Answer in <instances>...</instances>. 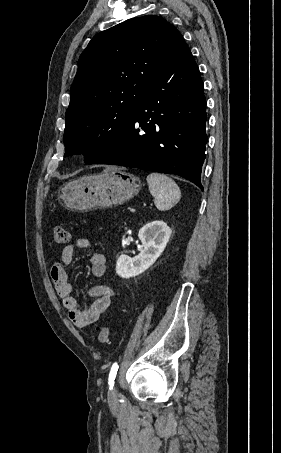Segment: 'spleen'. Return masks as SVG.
I'll list each match as a JSON object with an SVG mask.
<instances>
[{
	"mask_svg": "<svg viewBox=\"0 0 281 453\" xmlns=\"http://www.w3.org/2000/svg\"><path fill=\"white\" fill-rule=\"evenodd\" d=\"M146 180L158 210H169L180 200L181 192L178 184L166 174L151 172Z\"/></svg>",
	"mask_w": 281,
	"mask_h": 453,
	"instance_id": "3e777b00",
	"label": "spleen"
}]
</instances>
